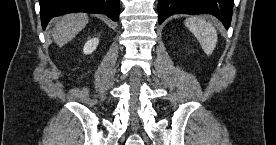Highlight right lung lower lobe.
Here are the masks:
<instances>
[{"label":"right lung lower lobe","mask_w":276,"mask_h":145,"mask_svg":"<svg viewBox=\"0 0 276 145\" xmlns=\"http://www.w3.org/2000/svg\"><path fill=\"white\" fill-rule=\"evenodd\" d=\"M41 24L46 28L51 18L71 12L104 13L113 21L119 19V0H39Z\"/></svg>","instance_id":"1"}]
</instances>
